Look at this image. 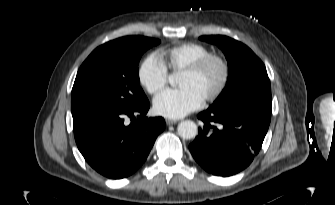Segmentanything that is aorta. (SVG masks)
I'll return each mask as SVG.
<instances>
[{
  "instance_id": "1",
  "label": "aorta",
  "mask_w": 335,
  "mask_h": 205,
  "mask_svg": "<svg viewBox=\"0 0 335 205\" xmlns=\"http://www.w3.org/2000/svg\"><path fill=\"white\" fill-rule=\"evenodd\" d=\"M168 81L171 86H175L176 84V77L175 75H170L168 77ZM177 131L180 137L183 139H192L195 138L198 134V128L197 125L190 120H185L179 123L177 127Z\"/></svg>"
}]
</instances>
